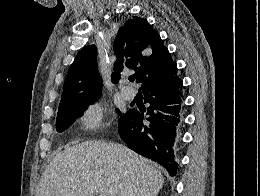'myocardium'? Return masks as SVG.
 Returning a JSON list of instances; mask_svg holds the SVG:
<instances>
[{
    "mask_svg": "<svg viewBox=\"0 0 260 196\" xmlns=\"http://www.w3.org/2000/svg\"><path fill=\"white\" fill-rule=\"evenodd\" d=\"M51 192H54V190H51ZM96 192H98V191H96Z\"/></svg>",
    "mask_w": 260,
    "mask_h": 196,
    "instance_id": "myocardium-1",
    "label": "myocardium"
}]
</instances>
